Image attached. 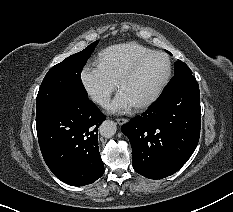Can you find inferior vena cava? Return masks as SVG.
<instances>
[{
	"label": "inferior vena cava",
	"instance_id": "602c4592",
	"mask_svg": "<svg viewBox=\"0 0 233 212\" xmlns=\"http://www.w3.org/2000/svg\"><path fill=\"white\" fill-rule=\"evenodd\" d=\"M95 100L101 105H106L109 102V97L106 95H99L95 98Z\"/></svg>",
	"mask_w": 233,
	"mask_h": 212
}]
</instances>
